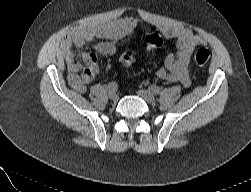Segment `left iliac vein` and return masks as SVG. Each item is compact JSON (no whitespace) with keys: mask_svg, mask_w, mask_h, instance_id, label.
<instances>
[{"mask_svg":"<svg viewBox=\"0 0 251 192\" xmlns=\"http://www.w3.org/2000/svg\"><path fill=\"white\" fill-rule=\"evenodd\" d=\"M137 94L147 103L151 104L155 102V97L153 95L152 92L148 91V90H138Z\"/></svg>","mask_w":251,"mask_h":192,"instance_id":"1","label":"left iliac vein"}]
</instances>
